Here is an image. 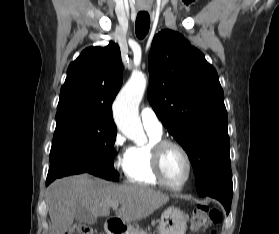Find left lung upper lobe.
<instances>
[{
  "instance_id": "left-lung-upper-lobe-1",
  "label": "left lung upper lobe",
  "mask_w": 279,
  "mask_h": 234,
  "mask_svg": "<svg viewBox=\"0 0 279 234\" xmlns=\"http://www.w3.org/2000/svg\"><path fill=\"white\" fill-rule=\"evenodd\" d=\"M149 75L150 104L187 152L198 195L231 189L228 118L215 68L182 35L167 29L153 39ZM224 207L229 213L230 206Z\"/></svg>"
}]
</instances>
